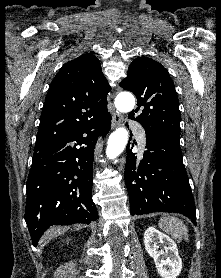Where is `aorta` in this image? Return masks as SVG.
I'll return each mask as SVG.
<instances>
[{
  "mask_svg": "<svg viewBox=\"0 0 221 278\" xmlns=\"http://www.w3.org/2000/svg\"><path fill=\"white\" fill-rule=\"evenodd\" d=\"M115 106L120 112H130L135 106V98L130 93H121L115 99ZM128 142V131L124 127L117 128L108 139L106 155L109 159L119 156Z\"/></svg>",
  "mask_w": 221,
  "mask_h": 278,
  "instance_id": "obj_1",
  "label": "aorta"
}]
</instances>
